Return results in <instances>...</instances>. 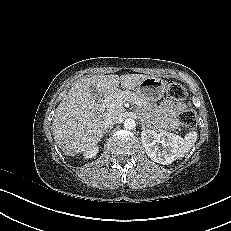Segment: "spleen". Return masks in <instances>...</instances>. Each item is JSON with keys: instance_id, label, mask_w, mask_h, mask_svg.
I'll return each mask as SVG.
<instances>
[{"instance_id": "3e777b00", "label": "spleen", "mask_w": 231, "mask_h": 231, "mask_svg": "<svg viewBox=\"0 0 231 231\" xmlns=\"http://www.w3.org/2000/svg\"><path fill=\"white\" fill-rule=\"evenodd\" d=\"M196 141H197L196 131H191L187 133L184 139L182 140L181 144L177 148L176 158H182L186 154H188L192 149V147L195 145Z\"/></svg>"}]
</instances>
